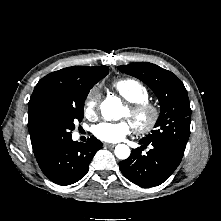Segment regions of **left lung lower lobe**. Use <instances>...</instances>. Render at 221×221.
Wrapping results in <instances>:
<instances>
[{"label": "left lung lower lobe", "mask_w": 221, "mask_h": 221, "mask_svg": "<svg viewBox=\"0 0 221 221\" xmlns=\"http://www.w3.org/2000/svg\"><path fill=\"white\" fill-rule=\"evenodd\" d=\"M140 144H143L141 149H134L129 158L119 163L121 172L128 180L141 187L162 184L178 167L184 151L163 143L140 140ZM147 145H151L152 149L144 155L142 147Z\"/></svg>", "instance_id": "obj_1"}]
</instances>
